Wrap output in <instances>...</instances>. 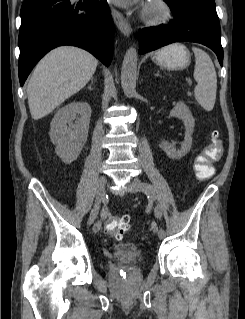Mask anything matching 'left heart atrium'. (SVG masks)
Wrapping results in <instances>:
<instances>
[{
  "mask_svg": "<svg viewBox=\"0 0 245 319\" xmlns=\"http://www.w3.org/2000/svg\"><path fill=\"white\" fill-rule=\"evenodd\" d=\"M112 1L122 6L129 7L134 5L137 0H112Z\"/></svg>",
  "mask_w": 245,
  "mask_h": 319,
  "instance_id": "1",
  "label": "left heart atrium"
}]
</instances>
